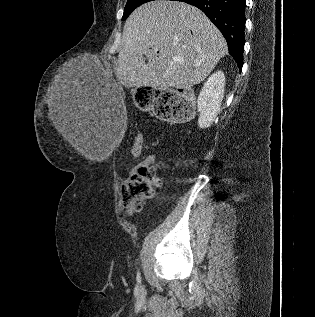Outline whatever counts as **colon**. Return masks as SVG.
<instances>
[{
	"label": "colon",
	"mask_w": 315,
	"mask_h": 317,
	"mask_svg": "<svg viewBox=\"0 0 315 317\" xmlns=\"http://www.w3.org/2000/svg\"><path fill=\"white\" fill-rule=\"evenodd\" d=\"M153 104L156 116L164 121L181 122L189 120L194 114L191 97L181 90L159 89ZM143 138L137 134L132 146V155L141 153ZM160 185V179L153 166H143L130 174L122 186V201L129 213L139 212L146 199L153 196Z\"/></svg>",
	"instance_id": "colon-1"
}]
</instances>
